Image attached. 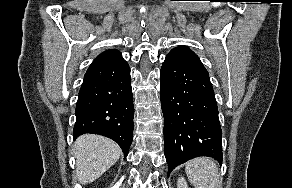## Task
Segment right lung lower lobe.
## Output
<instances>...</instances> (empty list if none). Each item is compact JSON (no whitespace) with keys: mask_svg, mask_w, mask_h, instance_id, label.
<instances>
[{"mask_svg":"<svg viewBox=\"0 0 292 188\" xmlns=\"http://www.w3.org/2000/svg\"><path fill=\"white\" fill-rule=\"evenodd\" d=\"M73 136L91 133L114 140L126 157L133 140L130 68L121 53L97 57L89 66L76 104Z\"/></svg>","mask_w":292,"mask_h":188,"instance_id":"1","label":"right lung lower lobe"}]
</instances>
